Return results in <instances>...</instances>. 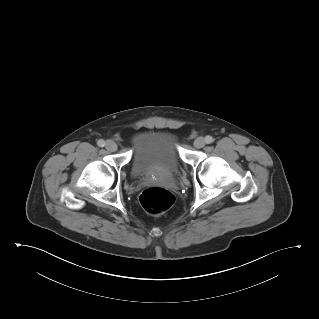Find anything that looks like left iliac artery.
<instances>
[{
    "label": "left iliac artery",
    "mask_w": 319,
    "mask_h": 319,
    "mask_svg": "<svg viewBox=\"0 0 319 319\" xmlns=\"http://www.w3.org/2000/svg\"><path fill=\"white\" fill-rule=\"evenodd\" d=\"M214 141V139H213V137L212 136H206L205 137V142L207 143V144H210V143H212Z\"/></svg>",
    "instance_id": "44dca946"
}]
</instances>
